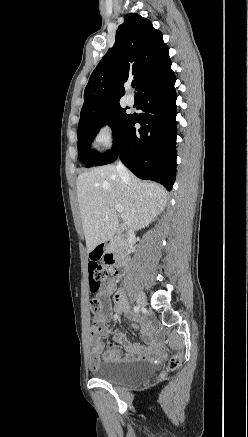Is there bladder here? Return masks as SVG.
I'll return each instance as SVG.
<instances>
[{
    "mask_svg": "<svg viewBox=\"0 0 248 437\" xmlns=\"http://www.w3.org/2000/svg\"><path fill=\"white\" fill-rule=\"evenodd\" d=\"M153 363L145 360L102 363L95 371L98 379L116 385H127L143 382L154 373Z\"/></svg>",
    "mask_w": 248,
    "mask_h": 437,
    "instance_id": "obj_1",
    "label": "bladder"
}]
</instances>
